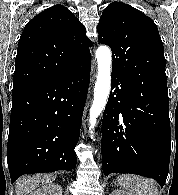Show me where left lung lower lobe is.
I'll use <instances>...</instances> for the list:
<instances>
[{"label":"left lung lower lobe","instance_id":"obj_1","mask_svg":"<svg viewBox=\"0 0 178 195\" xmlns=\"http://www.w3.org/2000/svg\"><path fill=\"white\" fill-rule=\"evenodd\" d=\"M112 90L102 122L104 174H138L162 187L171 152L169 98L138 90L114 75Z\"/></svg>","mask_w":178,"mask_h":195}]
</instances>
